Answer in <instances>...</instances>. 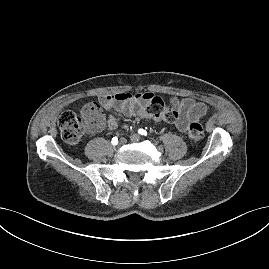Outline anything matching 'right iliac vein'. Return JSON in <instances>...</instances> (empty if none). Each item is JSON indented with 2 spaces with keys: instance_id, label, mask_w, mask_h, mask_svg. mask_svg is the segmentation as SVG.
I'll return each instance as SVG.
<instances>
[{
  "instance_id": "obj_1",
  "label": "right iliac vein",
  "mask_w": 269,
  "mask_h": 269,
  "mask_svg": "<svg viewBox=\"0 0 269 269\" xmlns=\"http://www.w3.org/2000/svg\"><path fill=\"white\" fill-rule=\"evenodd\" d=\"M127 143V140L125 138H122L121 140H119L117 142V146L118 147H122L123 145H125Z\"/></svg>"
}]
</instances>
